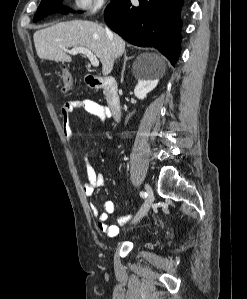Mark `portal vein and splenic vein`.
Masks as SVG:
<instances>
[{
    "label": "portal vein and splenic vein",
    "instance_id": "1",
    "mask_svg": "<svg viewBox=\"0 0 247 299\" xmlns=\"http://www.w3.org/2000/svg\"><path fill=\"white\" fill-rule=\"evenodd\" d=\"M69 53L71 54H78V53H82L84 55L87 56V58L89 59V61L91 62V64L94 67L99 66V61L96 57V55L93 54V52L85 47H73L71 50H69Z\"/></svg>",
    "mask_w": 247,
    "mask_h": 299
}]
</instances>
